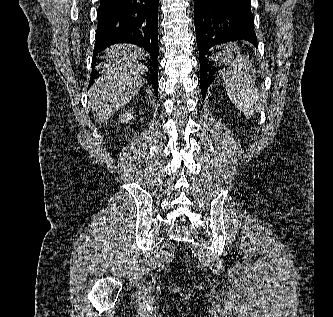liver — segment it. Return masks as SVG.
<instances>
[{"label": "liver", "instance_id": "liver-1", "mask_svg": "<svg viewBox=\"0 0 333 317\" xmlns=\"http://www.w3.org/2000/svg\"><path fill=\"white\" fill-rule=\"evenodd\" d=\"M146 53L131 44H118L106 50L107 61L101 76L89 90L88 105L98 123L107 121L120 107L134 99L144 84L146 67L138 61Z\"/></svg>", "mask_w": 333, "mask_h": 317}]
</instances>
